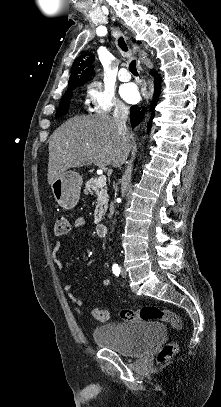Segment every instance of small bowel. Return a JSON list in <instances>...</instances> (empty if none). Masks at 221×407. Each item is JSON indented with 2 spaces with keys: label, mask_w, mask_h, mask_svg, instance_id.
<instances>
[{
  "label": "small bowel",
  "mask_w": 221,
  "mask_h": 407,
  "mask_svg": "<svg viewBox=\"0 0 221 407\" xmlns=\"http://www.w3.org/2000/svg\"><path fill=\"white\" fill-rule=\"evenodd\" d=\"M86 227V220L83 217H79L74 221V228L76 229H83ZM62 244L60 240H57L54 244L53 250H52V255H53V259L56 263V265L62 269L63 268V264L62 261L58 258V254L61 250ZM104 286H109L111 284V280L106 278L103 280L102 283ZM71 284L69 282H63L62 283V289L64 291H66L68 293V297L69 299L77 304V305H82V301L73 293L71 292Z\"/></svg>",
  "instance_id": "obj_1"
}]
</instances>
